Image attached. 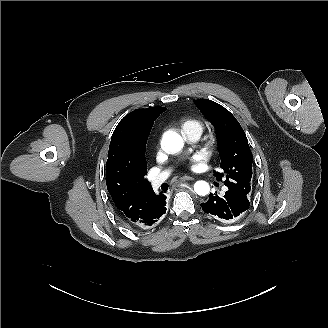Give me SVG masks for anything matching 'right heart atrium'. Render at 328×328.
<instances>
[{
    "instance_id": "1",
    "label": "right heart atrium",
    "mask_w": 328,
    "mask_h": 328,
    "mask_svg": "<svg viewBox=\"0 0 328 328\" xmlns=\"http://www.w3.org/2000/svg\"><path fill=\"white\" fill-rule=\"evenodd\" d=\"M160 138H161V134L159 135V137L155 141V144H154V150L155 151H157L159 149Z\"/></svg>"
}]
</instances>
